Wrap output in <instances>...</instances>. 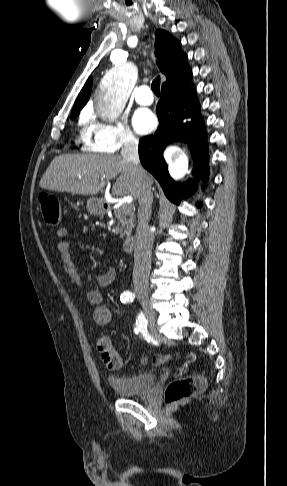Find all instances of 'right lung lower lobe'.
Here are the masks:
<instances>
[{
  "label": "right lung lower lobe",
  "instance_id": "right-lung-lower-lobe-1",
  "mask_svg": "<svg viewBox=\"0 0 287 486\" xmlns=\"http://www.w3.org/2000/svg\"><path fill=\"white\" fill-rule=\"evenodd\" d=\"M191 77L174 86L162 88L156 109L159 127L154 135L142 138L138 147L142 165L153 174L166 196L175 203L190 195L195 184L191 179L184 184H177L170 177L162 156L167 145L173 141L187 142L195 164L194 174L201 178L208 175L206 133L195 88H191ZM185 118H191L192 121L184 124Z\"/></svg>",
  "mask_w": 287,
  "mask_h": 486
}]
</instances>
